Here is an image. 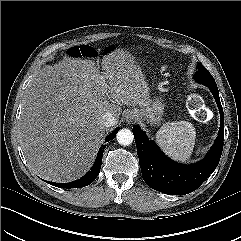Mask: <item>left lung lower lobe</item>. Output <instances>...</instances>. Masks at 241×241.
I'll return each instance as SVG.
<instances>
[{
	"label": "left lung lower lobe",
	"mask_w": 241,
	"mask_h": 241,
	"mask_svg": "<svg viewBox=\"0 0 241 241\" xmlns=\"http://www.w3.org/2000/svg\"><path fill=\"white\" fill-rule=\"evenodd\" d=\"M218 105L221 125L215 143L206 157L193 165H183L167 158L138 126L132 131L140 168L149 187L170 195H185L196 190L217 167L224 141V115L217 86H207Z\"/></svg>",
	"instance_id": "left-lung-lower-lobe-1"
}]
</instances>
